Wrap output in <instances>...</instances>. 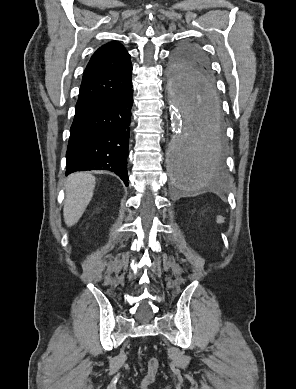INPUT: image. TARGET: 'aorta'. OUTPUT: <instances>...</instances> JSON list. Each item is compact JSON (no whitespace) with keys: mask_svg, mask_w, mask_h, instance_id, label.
Wrapping results in <instances>:
<instances>
[{"mask_svg":"<svg viewBox=\"0 0 296 389\" xmlns=\"http://www.w3.org/2000/svg\"><path fill=\"white\" fill-rule=\"evenodd\" d=\"M166 98L172 139L167 165L172 189H204L220 162L217 130L218 91L204 72L192 67H167Z\"/></svg>","mask_w":296,"mask_h":389,"instance_id":"762f6f07","label":"aorta"}]
</instances>
